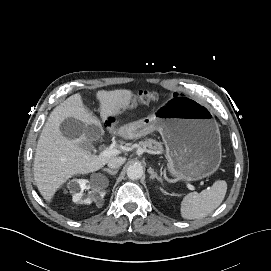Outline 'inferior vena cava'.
Here are the masks:
<instances>
[{
	"label": "inferior vena cava",
	"mask_w": 271,
	"mask_h": 271,
	"mask_svg": "<svg viewBox=\"0 0 271 271\" xmlns=\"http://www.w3.org/2000/svg\"><path fill=\"white\" fill-rule=\"evenodd\" d=\"M123 157H113L108 161V166L112 169H117L125 162Z\"/></svg>",
	"instance_id": "obj_1"
}]
</instances>
